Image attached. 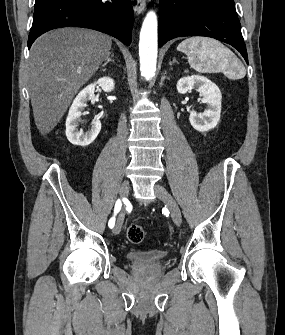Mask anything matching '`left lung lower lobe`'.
Masks as SVG:
<instances>
[{
  "label": "left lung lower lobe",
  "instance_id": "1",
  "mask_svg": "<svg viewBox=\"0 0 285 335\" xmlns=\"http://www.w3.org/2000/svg\"><path fill=\"white\" fill-rule=\"evenodd\" d=\"M183 36H206L228 43L248 64L234 0H160L159 47Z\"/></svg>",
  "mask_w": 285,
  "mask_h": 335
}]
</instances>
